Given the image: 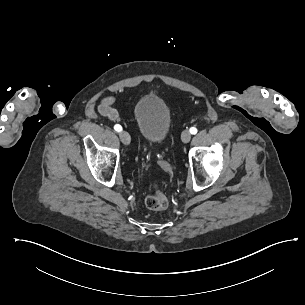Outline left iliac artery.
I'll use <instances>...</instances> for the list:
<instances>
[{
    "label": "left iliac artery",
    "instance_id": "44dca946",
    "mask_svg": "<svg viewBox=\"0 0 305 305\" xmlns=\"http://www.w3.org/2000/svg\"><path fill=\"white\" fill-rule=\"evenodd\" d=\"M189 131H190L191 134H196L197 133V129L195 127H191Z\"/></svg>",
    "mask_w": 305,
    "mask_h": 305
}]
</instances>
